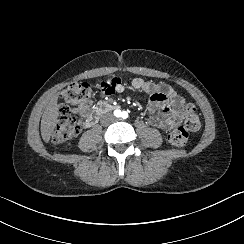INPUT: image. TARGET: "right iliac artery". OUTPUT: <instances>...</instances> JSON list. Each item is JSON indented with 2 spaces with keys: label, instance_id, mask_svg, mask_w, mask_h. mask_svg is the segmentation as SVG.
I'll return each mask as SVG.
<instances>
[{
  "label": "right iliac artery",
  "instance_id": "1",
  "mask_svg": "<svg viewBox=\"0 0 244 244\" xmlns=\"http://www.w3.org/2000/svg\"><path fill=\"white\" fill-rule=\"evenodd\" d=\"M114 115H115L116 117H120V116H121V111H120V110H115V111H114Z\"/></svg>",
  "mask_w": 244,
  "mask_h": 244
}]
</instances>
